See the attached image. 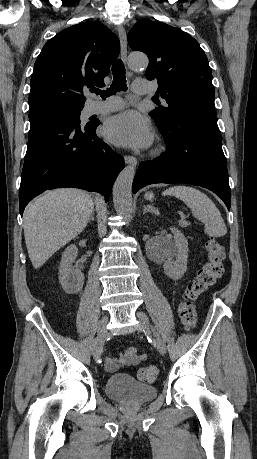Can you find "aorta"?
I'll return each instance as SVG.
<instances>
[{"mask_svg":"<svg viewBox=\"0 0 257 459\" xmlns=\"http://www.w3.org/2000/svg\"><path fill=\"white\" fill-rule=\"evenodd\" d=\"M129 64L132 69L146 68L148 58L143 54H131ZM135 167L129 165L118 175L113 186V202L118 214L129 219L132 215V183Z\"/></svg>","mask_w":257,"mask_h":459,"instance_id":"obj_1","label":"aorta"}]
</instances>
